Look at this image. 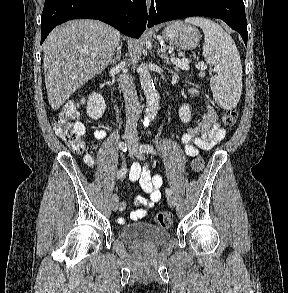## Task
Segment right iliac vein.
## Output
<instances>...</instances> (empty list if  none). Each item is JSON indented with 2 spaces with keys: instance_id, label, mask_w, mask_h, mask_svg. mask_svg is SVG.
<instances>
[{
  "instance_id": "1",
  "label": "right iliac vein",
  "mask_w": 288,
  "mask_h": 293,
  "mask_svg": "<svg viewBox=\"0 0 288 293\" xmlns=\"http://www.w3.org/2000/svg\"><path fill=\"white\" fill-rule=\"evenodd\" d=\"M125 143L127 145L129 152L132 153L134 149V142L128 138L126 139ZM118 207H119V198L116 194H114L111 199V208L113 211H117Z\"/></svg>"
}]
</instances>
